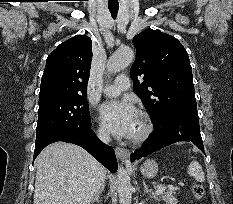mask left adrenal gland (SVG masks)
I'll list each match as a JSON object with an SVG mask.
<instances>
[{
  "label": "left adrenal gland",
  "instance_id": "a2214340",
  "mask_svg": "<svg viewBox=\"0 0 233 204\" xmlns=\"http://www.w3.org/2000/svg\"><path fill=\"white\" fill-rule=\"evenodd\" d=\"M143 187H144V192L150 193L152 198H154L155 200H159V198L150 189H148L144 181H143Z\"/></svg>",
  "mask_w": 233,
  "mask_h": 204
}]
</instances>
